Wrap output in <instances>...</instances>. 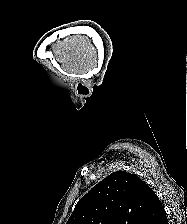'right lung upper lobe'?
<instances>
[{
  "mask_svg": "<svg viewBox=\"0 0 187 224\" xmlns=\"http://www.w3.org/2000/svg\"><path fill=\"white\" fill-rule=\"evenodd\" d=\"M166 212L137 175L116 171L76 204L66 224H162Z\"/></svg>",
  "mask_w": 187,
  "mask_h": 224,
  "instance_id": "right-lung-upper-lobe-1",
  "label": "right lung upper lobe"
}]
</instances>
